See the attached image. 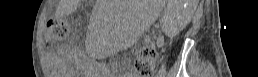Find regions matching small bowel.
Wrapping results in <instances>:
<instances>
[{"mask_svg":"<svg viewBox=\"0 0 258 77\" xmlns=\"http://www.w3.org/2000/svg\"><path fill=\"white\" fill-rule=\"evenodd\" d=\"M163 43V40L162 39H159L158 41H157V44L158 45H161Z\"/></svg>","mask_w":258,"mask_h":77,"instance_id":"small-bowel-1","label":"small bowel"}]
</instances>
